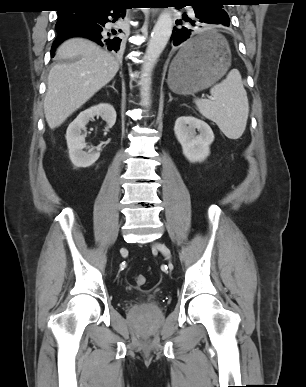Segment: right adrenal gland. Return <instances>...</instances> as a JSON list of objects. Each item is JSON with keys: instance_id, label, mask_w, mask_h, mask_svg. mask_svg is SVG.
<instances>
[{"instance_id": "obj_1", "label": "right adrenal gland", "mask_w": 306, "mask_h": 387, "mask_svg": "<svg viewBox=\"0 0 306 387\" xmlns=\"http://www.w3.org/2000/svg\"><path fill=\"white\" fill-rule=\"evenodd\" d=\"M114 85H115V81H113L112 85L109 86V87H111L115 92H117V90L115 89Z\"/></svg>"}]
</instances>
